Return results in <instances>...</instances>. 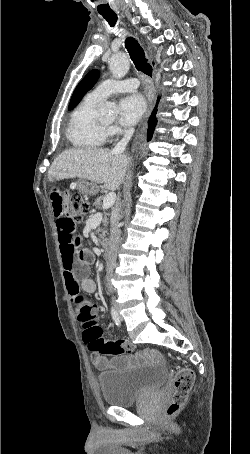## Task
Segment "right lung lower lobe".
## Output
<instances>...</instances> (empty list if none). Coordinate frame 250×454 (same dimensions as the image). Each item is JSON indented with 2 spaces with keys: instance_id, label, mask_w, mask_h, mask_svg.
<instances>
[{
  "instance_id": "obj_1",
  "label": "right lung lower lobe",
  "mask_w": 250,
  "mask_h": 454,
  "mask_svg": "<svg viewBox=\"0 0 250 454\" xmlns=\"http://www.w3.org/2000/svg\"><path fill=\"white\" fill-rule=\"evenodd\" d=\"M157 107H158V103L156 104L155 108L153 109L152 114L148 121V128H147V140L148 141L151 140L155 126L157 124V119H156Z\"/></svg>"
}]
</instances>
